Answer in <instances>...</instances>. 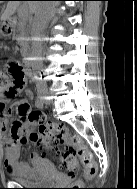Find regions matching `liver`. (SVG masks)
<instances>
[{"label": "liver", "mask_w": 137, "mask_h": 189, "mask_svg": "<svg viewBox=\"0 0 137 189\" xmlns=\"http://www.w3.org/2000/svg\"><path fill=\"white\" fill-rule=\"evenodd\" d=\"M19 5H20L19 1H9L7 3V7L5 11L3 12L1 16V20H7L8 18H10L11 15L14 14V12L16 11ZM28 5L32 12H36L40 7H42L43 3L42 2H29Z\"/></svg>", "instance_id": "obj_1"}]
</instances>
